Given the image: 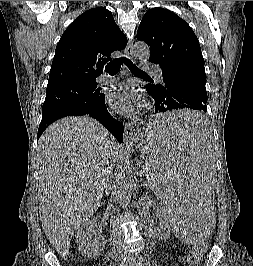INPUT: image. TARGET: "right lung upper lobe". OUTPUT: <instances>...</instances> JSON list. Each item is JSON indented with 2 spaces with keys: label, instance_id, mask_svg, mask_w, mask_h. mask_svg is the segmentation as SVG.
Here are the masks:
<instances>
[{
  "label": "right lung upper lobe",
  "instance_id": "1",
  "mask_svg": "<svg viewBox=\"0 0 253 266\" xmlns=\"http://www.w3.org/2000/svg\"><path fill=\"white\" fill-rule=\"evenodd\" d=\"M126 44L127 38L109 10L86 11L69 25L57 44L47 87L96 80L111 53L123 50Z\"/></svg>",
  "mask_w": 253,
  "mask_h": 266
}]
</instances>
